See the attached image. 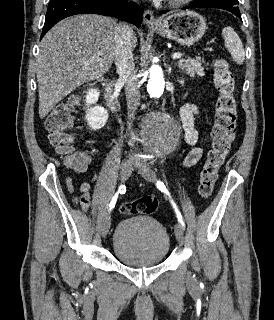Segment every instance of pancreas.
<instances>
[{
	"label": "pancreas",
	"instance_id": "pancreas-1",
	"mask_svg": "<svg viewBox=\"0 0 274 320\" xmlns=\"http://www.w3.org/2000/svg\"><path fill=\"white\" fill-rule=\"evenodd\" d=\"M177 66H179L182 72L185 74H189V76H205V68H203V58L201 56H196V58H181L179 62H177ZM208 70V68H206Z\"/></svg>",
	"mask_w": 274,
	"mask_h": 320
}]
</instances>
